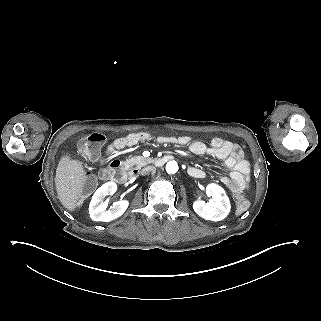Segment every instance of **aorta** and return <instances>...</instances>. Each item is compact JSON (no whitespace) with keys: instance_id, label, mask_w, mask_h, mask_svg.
Returning a JSON list of instances; mask_svg holds the SVG:
<instances>
[{"instance_id":"1","label":"aorta","mask_w":321,"mask_h":321,"mask_svg":"<svg viewBox=\"0 0 321 321\" xmlns=\"http://www.w3.org/2000/svg\"><path fill=\"white\" fill-rule=\"evenodd\" d=\"M166 171L168 174H175L178 171V164L176 161H169L166 164Z\"/></svg>"}]
</instances>
